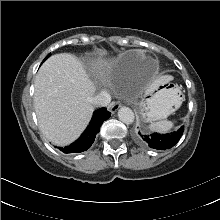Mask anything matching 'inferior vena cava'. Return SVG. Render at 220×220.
I'll return each instance as SVG.
<instances>
[{"mask_svg":"<svg viewBox=\"0 0 220 220\" xmlns=\"http://www.w3.org/2000/svg\"><path fill=\"white\" fill-rule=\"evenodd\" d=\"M110 101L111 96L105 91L99 93L92 99V102L95 107H105L110 103Z\"/></svg>","mask_w":220,"mask_h":220,"instance_id":"obj_1","label":"inferior vena cava"}]
</instances>
